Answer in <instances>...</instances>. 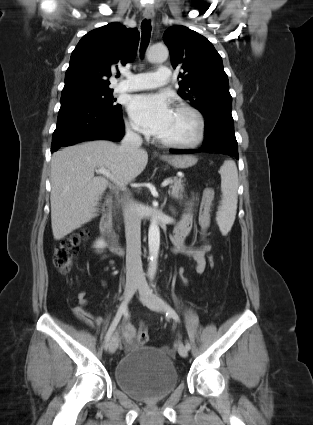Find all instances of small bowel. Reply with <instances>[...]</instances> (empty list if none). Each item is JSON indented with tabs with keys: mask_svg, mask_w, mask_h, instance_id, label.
I'll return each mask as SVG.
<instances>
[{
	"mask_svg": "<svg viewBox=\"0 0 313 425\" xmlns=\"http://www.w3.org/2000/svg\"><path fill=\"white\" fill-rule=\"evenodd\" d=\"M214 198L212 189L207 188L203 191L201 197V208L199 213V225L205 230L209 225L210 209ZM194 219L190 211H187L180 219L174 234L172 236L173 247L176 253H184L195 263L197 273H203L206 269L205 254L210 250L208 244H203L198 248H191L185 245V238L189 235L193 227ZM87 293L80 291L77 295L78 304L73 308L74 315L89 327L103 322V318L94 314L87 308ZM121 336L127 347L135 343L137 330L129 323L123 325Z\"/></svg>",
	"mask_w": 313,
	"mask_h": 425,
	"instance_id": "small-bowel-1",
	"label": "small bowel"
}]
</instances>
